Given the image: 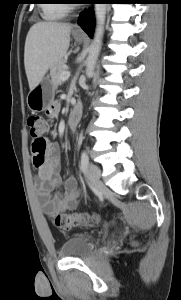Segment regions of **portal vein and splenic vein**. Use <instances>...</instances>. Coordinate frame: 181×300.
<instances>
[{"label": "portal vein and splenic vein", "mask_w": 181, "mask_h": 300, "mask_svg": "<svg viewBox=\"0 0 181 300\" xmlns=\"http://www.w3.org/2000/svg\"><path fill=\"white\" fill-rule=\"evenodd\" d=\"M70 75H71V72H70V71H68V70L64 71V72L62 73V75H61V80H62V81L67 80V79L70 77Z\"/></svg>", "instance_id": "obj_1"}]
</instances>
